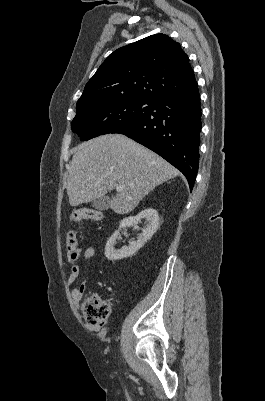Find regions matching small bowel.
<instances>
[{"label": "small bowel", "instance_id": "obj_1", "mask_svg": "<svg viewBox=\"0 0 265 401\" xmlns=\"http://www.w3.org/2000/svg\"><path fill=\"white\" fill-rule=\"evenodd\" d=\"M96 253L95 247L89 246L86 248L83 247H77L75 252L73 253H68L67 252V264L70 266V275L68 278V284L72 285L75 283L77 280L79 273H80V268L77 264L78 259L80 257H83L85 260H89L94 257ZM87 288V280L82 281L78 286L74 287L71 290V298L73 300L74 305L77 307L79 305V302L86 291ZM88 328L92 331L98 330L99 327L96 326H88Z\"/></svg>", "mask_w": 265, "mask_h": 401}]
</instances>
